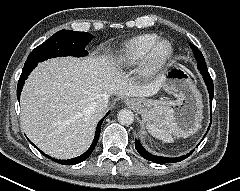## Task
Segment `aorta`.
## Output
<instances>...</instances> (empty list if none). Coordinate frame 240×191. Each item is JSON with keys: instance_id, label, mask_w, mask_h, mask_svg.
I'll return each instance as SVG.
<instances>
[{"instance_id": "1", "label": "aorta", "mask_w": 240, "mask_h": 191, "mask_svg": "<svg viewBox=\"0 0 240 191\" xmlns=\"http://www.w3.org/2000/svg\"><path fill=\"white\" fill-rule=\"evenodd\" d=\"M117 119L122 125H131L134 121V114L131 110L122 109L118 112Z\"/></svg>"}]
</instances>
